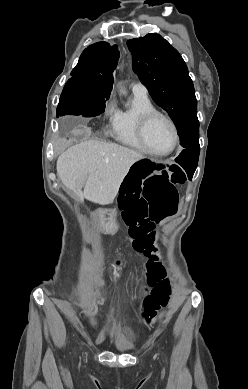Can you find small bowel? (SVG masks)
<instances>
[{"mask_svg": "<svg viewBox=\"0 0 248 389\" xmlns=\"http://www.w3.org/2000/svg\"><path fill=\"white\" fill-rule=\"evenodd\" d=\"M108 329L110 330L111 327L109 326ZM127 337H128L129 340H133V336L129 332H127Z\"/></svg>", "mask_w": 248, "mask_h": 389, "instance_id": "c3829d8e", "label": "small bowel"}]
</instances>
